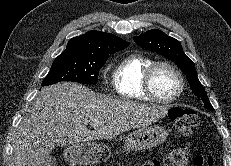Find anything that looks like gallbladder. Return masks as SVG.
Here are the masks:
<instances>
[{"label":"gallbladder","instance_id":"1","mask_svg":"<svg viewBox=\"0 0 231 166\" xmlns=\"http://www.w3.org/2000/svg\"><path fill=\"white\" fill-rule=\"evenodd\" d=\"M50 163H51V164H53V166H54V164H55V161H53V160L51 161V160H50Z\"/></svg>","mask_w":231,"mask_h":166}]
</instances>
